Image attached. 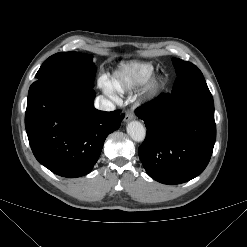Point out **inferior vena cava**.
Instances as JSON below:
<instances>
[{"instance_id":"1","label":"inferior vena cava","mask_w":247,"mask_h":247,"mask_svg":"<svg viewBox=\"0 0 247 247\" xmlns=\"http://www.w3.org/2000/svg\"><path fill=\"white\" fill-rule=\"evenodd\" d=\"M95 108L103 111H113L115 109V105L104 96H98L94 102Z\"/></svg>"}]
</instances>
